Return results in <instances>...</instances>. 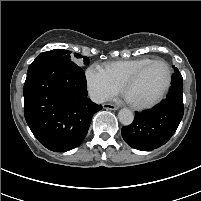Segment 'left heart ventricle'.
<instances>
[{"label": "left heart ventricle", "mask_w": 201, "mask_h": 201, "mask_svg": "<svg viewBox=\"0 0 201 201\" xmlns=\"http://www.w3.org/2000/svg\"><path fill=\"white\" fill-rule=\"evenodd\" d=\"M166 81V66L162 63H154L146 68L127 89L126 97L133 102H148L161 92Z\"/></svg>", "instance_id": "b2bd125f"}]
</instances>
